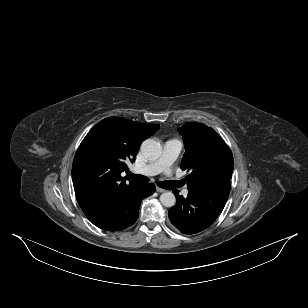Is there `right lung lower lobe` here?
Segmentation results:
<instances>
[{
  "label": "right lung lower lobe",
  "mask_w": 308,
  "mask_h": 308,
  "mask_svg": "<svg viewBox=\"0 0 308 308\" xmlns=\"http://www.w3.org/2000/svg\"><path fill=\"white\" fill-rule=\"evenodd\" d=\"M155 192V185L141 184L134 192L124 207H122L116 215L105 217L98 220H91L97 227L107 231H120L133 225L139 213V206L145 197L152 195Z\"/></svg>",
  "instance_id": "obj_1"
}]
</instances>
